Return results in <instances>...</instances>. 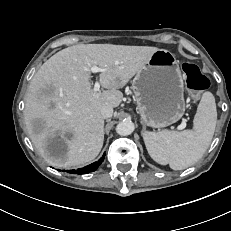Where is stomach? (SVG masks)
I'll return each instance as SVG.
<instances>
[{
  "label": "stomach",
  "mask_w": 231,
  "mask_h": 231,
  "mask_svg": "<svg viewBox=\"0 0 231 231\" xmlns=\"http://www.w3.org/2000/svg\"><path fill=\"white\" fill-rule=\"evenodd\" d=\"M134 99L142 123L164 128L185 113L184 83L175 55L159 49L132 80Z\"/></svg>",
  "instance_id": "stomach-1"
}]
</instances>
